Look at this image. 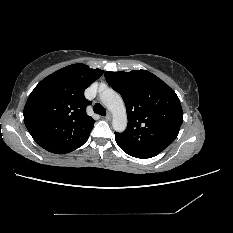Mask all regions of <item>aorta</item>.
Returning <instances> with one entry per match:
<instances>
[{
  "label": "aorta",
  "instance_id": "aorta-1",
  "mask_svg": "<svg viewBox=\"0 0 233 233\" xmlns=\"http://www.w3.org/2000/svg\"><path fill=\"white\" fill-rule=\"evenodd\" d=\"M100 98L113 115L112 126L114 130L123 132L127 127V114L121 96L112 89H106L101 93Z\"/></svg>",
  "mask_w": 233,
  "mask_h": 233
}]
</instances>
